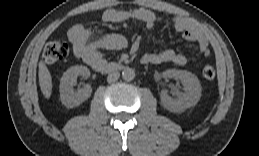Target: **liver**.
Returning a JSON list of instances; mask_svg holds the SVG:
<instances>
[{
	"label": "liver",
	"instance_id": "obj_1",
	"mask_svg": "<svg viewBox=\"0 0 259 156\" xmlns=\"http://www.w3.org/2000/svg\"><path fill=\"white\" fill-rule=\"evenodd\" d=\"M39 85L44 97L49 99L52 94V77L43 61L39 62Z\"/></svg>",
	"mask_w": 259,
	"mask_h": 156
}]
</instances>
